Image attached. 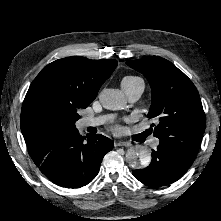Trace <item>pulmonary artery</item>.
Segmentation results:
<instances>
[{
	"instance_id": "e3ab8cb5",
	"label": "pulmonary artery",
	"mask_w": 221,
	"mask_h": 221,
	"mask_svg": "<svg viewBox=\"0 0 221 221\" xmlns=\"http://www.w3.org/2000/svg\"><path fill=\"white\" fill-rule=\"evenodd\" d=\"M121 87L128 101L135 102L141 97L144 91V82L138 81L134 83L121 84ZM112 119H113L112 115L89 117V118H84L81 121L80 125L82 128L99 126ZM157 144H158V141L156 140L154 142V146H156Z\"/></svg>"
}]
</instances>
